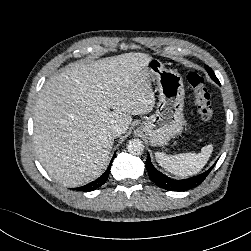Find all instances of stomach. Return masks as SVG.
Wrapping results in <instances>:
<instances>
[{
	"label": "stomach",
	"instance_id": "stomach-1",
	"mask_svg": "<svg viewBox=\"0 0 251 251\" xmlns=\"http://www.w3.org/2000/svg\"><path fill=\"white\" fill-rule=\"evenodd\" d=\"M146 69L149 83L157 85L159 103L155 114L142 122L140 129L148 136L152 146H164L183 130V80L177 71L165 68L156 58L147 62Z\"/></svg>",
	"mask_w": 251,
	"mask_h": 251
}]
</instances>
